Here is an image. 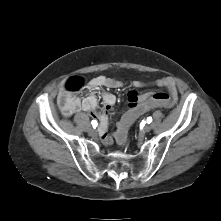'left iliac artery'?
Wrapping results in <instances>:
<instances>
[{"mask_svg": "<svg viewBox=\"0 0 221 221\" xmlns=\"http://www.w3.org/2000/svg\"><path fill=\"white\" fill-rule=\"evenodd\" d=\"M146 121H147V123H151V122H152V117H148V118L146 119Z\"/></svg>", "mask_w": 221, "mask_h": 221, "instance_id": "44dca946", "label": "left iliac artery"}]
</instances>
